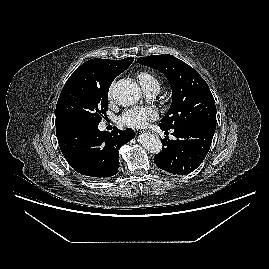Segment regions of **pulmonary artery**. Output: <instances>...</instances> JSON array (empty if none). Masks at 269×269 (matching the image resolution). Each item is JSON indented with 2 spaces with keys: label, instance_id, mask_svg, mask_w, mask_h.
<instances>
[{
  "label": "pulmonary artery",
  "instance_id": "pulmonary-artery-1",
  "mask_svg": "<svg viewBox=\"0 0 269 269\" xmlns=\"http://www.w3.org/2000/svg\"><path fill=\"white\" fill-rule=\"evenodd\" d=\"M142 87L144 93L150 97H155L160 92V85L158 83H150Z\"/></svg>",
  "mask_w": 269,
  "mask_h": 269
}]
</instances>
